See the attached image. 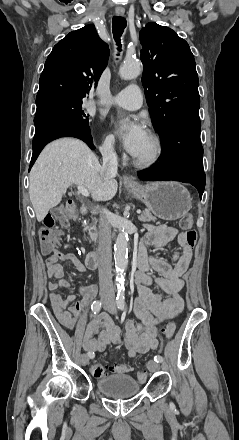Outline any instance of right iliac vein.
Returning <instances> with one entry per match:
<instances>
[{"mask_svg": "<svg viewBox=\"0 0 239 440\" xmlns=\"http://www.w3.org/2000/svg\"><path fill=\"white\" fill-rule=\"evenodd\" d=\"M107 305V302L104 303V307ZM80 362L83 366H86L89 363V357L86 354H82L80 356Z\"/></svg>", "mask_w": 239, "mask_h": 440, "instance_id": "right-iliac-vein-1", "label": "right iliac vein"}]
</instances>
